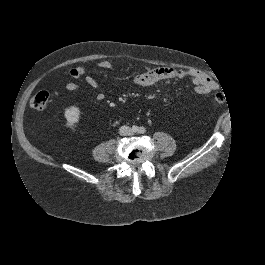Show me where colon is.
Segmentation results:
<instances>
[{"label": "colon", "mask_w": 265, "mask_h": 265, "mask_svg": "<svg viewBox=\"0 0 265 265\" xmlns=\"http://www.w3.org/2000/svg\"><path fill=\"white\" fill-rule=\"evenodd\" d=\"M50 95L47 91H39L33 95L30 100V105L33 109L41 111L46 108L49 102ZM215 101L218 103H224L226 101V95L223 92L215 94Z\"/></svg>", "instance_id": "obj_1"}]
</instances>
